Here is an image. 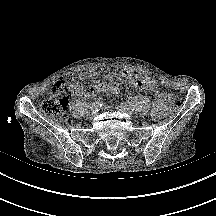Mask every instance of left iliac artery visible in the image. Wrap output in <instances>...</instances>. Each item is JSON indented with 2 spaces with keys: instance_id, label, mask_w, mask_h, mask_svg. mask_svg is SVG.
I'll use <instances>...</instances> for the list:
<instances>
[{
  "instance_id": "obj_1",
  "label": "left iliac artery",
  "mask_w": 216,
  "mask_h": 216,
  "mask_svg": "<svg viewBox=\"0 0 216 216\" xmlns=\"http://www.w3.org/2000/svg\"><path fill=\"white\" fill-rule=\"evenodd\" d=\"M126 106L131 110L134 111L135 110V105L132 102H128V104H126Z\"/></svg>"
}]
</instances>
